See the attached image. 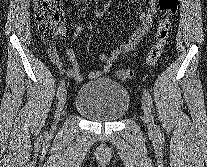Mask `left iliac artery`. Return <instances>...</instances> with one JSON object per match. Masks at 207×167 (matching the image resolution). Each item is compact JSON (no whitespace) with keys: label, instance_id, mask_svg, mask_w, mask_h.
<instances>
[{"label":"left iliac artery","instance_id":"obj_1","mask_svg":"<svg viewBox=\"0 0 207 167\" xmlns=\"http://www.w3.org/2000/svg\"><path fill=\"white\" fill-rule=\"evenodd\" d=\"M143 94H144V97L147 100L149 106H151V108L154 110L152 97H151L148 89L145 88L144 91H143ZM156 131H157V136L160 138L161 137V133H160L159 127H157Z\"/></svg>","mask_w":207,"mask_h":167}]
</instances>
